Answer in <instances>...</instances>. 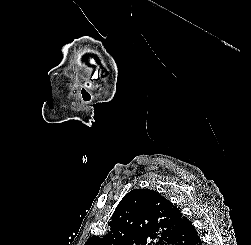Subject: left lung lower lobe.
<instances>
[{
    "label": "left lung lower lobe",
    "mask_w": 251,
    "mask_h": 245,
    "mask_svg": "<svg viewBox=\"0 0 251 245\" xmlns=\"http://www.w3.org/2000/svg\"><path fill=\"white\" fill-rule=\"evenodd\" d=\"M187 219L183 226L170 237L166 245H202L197 230Z\"/></svg>",
    "instance_id": "left-lung-lower-lobe-1"
}]
</instances>
